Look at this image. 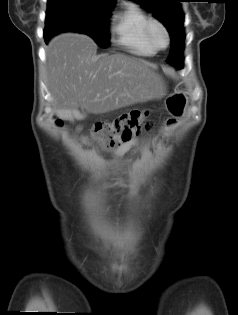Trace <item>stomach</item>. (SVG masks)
<instances>
[{"mask_svg":"<svg viewBox=\"0 0 238 315\" xmlns=\"http://www.w3.org/2000/svg\"><path fill=\"white\" fill-rule=\"evenodd\" d=\"M187 91H174V94H168L166 102H164V109L171 112L175 120H182L184 116L183 105L187 104Z\"/></svg>","mask_w":238,"mask_h":315,"instance_id":"1","label":"stomach"}]
</instances>
